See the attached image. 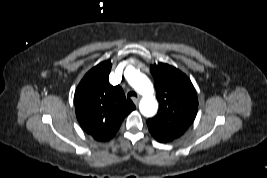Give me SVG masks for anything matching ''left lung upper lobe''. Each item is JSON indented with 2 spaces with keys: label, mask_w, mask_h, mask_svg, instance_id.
Here are the masks:
<instances>
[{
  "label": "left lung upper lobe",
  "mask_w": 267,
  "mask_h": 178,
  "mask_svg": "<svg viewBox=\"0 0 267 178\" xmlns=\"http://www.w3.org/2000/svg\"><path fill=\"white\" fill-rule=\"evenodd\" d=\"M159 111L147 120L152 136L161 143L171 142L185 133L194 121L197 94L190 79L179 69L158 63L151 65Z\"/></svg>",
  "instance_id": "obj_1"
}]
</instances>
